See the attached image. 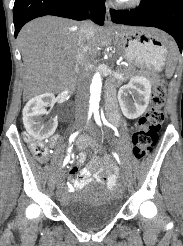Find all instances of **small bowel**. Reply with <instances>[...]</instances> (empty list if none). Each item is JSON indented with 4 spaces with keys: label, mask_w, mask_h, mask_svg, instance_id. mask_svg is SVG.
<instances>
[{
    "label": "small bowel",
    "mask_w": 183,
    "mask_h": 246,
    "mask_svg": "<svg viewBox=\"0 0 183 246\" xmlns=\"http://www.w3.org/2000/svg\"><path fill=\"white\" fill-rule=\"evenodd\" d=\"M56 140L57 138H53L52 142L55 143ZM85 157V152L81 151L77 163L69 171L70 175L78 173V177L75 180H73L72 183H69L67 185L65 191L67 193H72L75 190L82 189L83 187H85L93 181L99 182L110 188H113L117 180V175L115 173L113 165L109 163L108 168L110 170V173L107 176H103L101 175V172L98 170V163L96 161L90 164L87 168L80 169L81 165L85 161Z\"/></svg>",
    "instance_id": "obj_1"
}]
</instances>
